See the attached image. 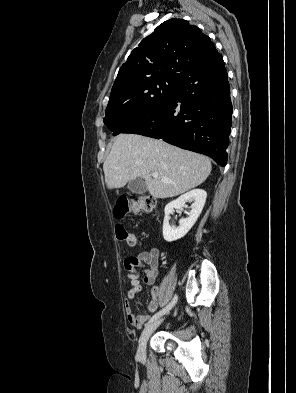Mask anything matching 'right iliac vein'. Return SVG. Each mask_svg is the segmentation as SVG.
Returning <instances> with one entry per match:
<instances>
[{"label":"right iliac vein","mask_w":296,"mask_h":393,"mask_svg":"<svg viewBox=\"0 0 296 393\" xmlns=\"http://www.w3.org/2000/svg\"><path fill=\"white\" fill-rule=\"evenodd\" d=\"M164 319H158L151 324L147 325L145 329L142 331L141 336L139 338L138 349H137V357L139 359L145 358L146 345L149 337L154 332V330L162 323Z\"/></svg>","instance_id":"1"}]
</instances>
